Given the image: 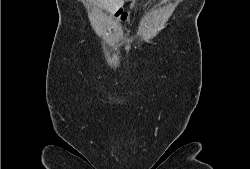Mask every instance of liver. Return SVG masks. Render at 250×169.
Masks as SVG:
<instances>
[{
	"instance_id": "liver-1",
	"label": "liver",
	"mask_w": 250,
	"mask_h": 169,
	"mask_svg": "<svg viewBox=\"0 0 250 169\" xmlns=\"http://www.w3.org/2000/svg\"><path fill=\"white\" fill-rule=\"evenodd\" d=\"M92 2H94V4H99L101 8L108 10V12H114L116 8L124 4V0H92Z\"/></svg>"
}]
</instances>
